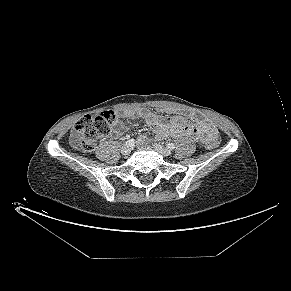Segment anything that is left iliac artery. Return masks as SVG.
Returning a JSON list of instances; mask_svg holds the SVG:
<instances>
[{
    "instance_id": "44dca946",
    "label": "left iliac artery",
    "mask_w": 291,
    "mask_h": 291,
    "mask_svg": "<svg viewBox=\"0 0 291 291\" xmlns=\"http://www.w3.org/2000/svg\"><path fill=\"white\" fill-rule=\"evenodd\" d=\"M166 146L170 150H173L175 148V145L173 143H168Z\"/></svg>"
}]
</instances>
